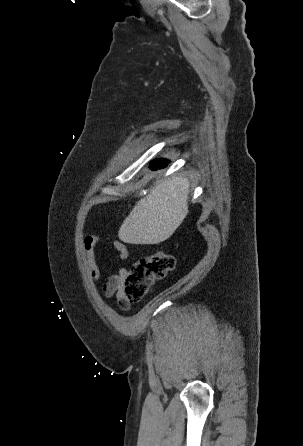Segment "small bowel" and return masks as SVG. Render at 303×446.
Instances as JSON below:
<instances>
[{"mask_svg": "<svg viewBox=\"0 0 303 446\" xmlns=\"http://www.w3.org/2000/svg\"><path fill=\"white\" fill-rule=\"evenodd\" d=\"M99 240L100 236L94 234L87 235L83 240V254L88 267L90 279L93 282L98 281L101 276V272L98 267L94 252ZM112 245L116 250L119 259L125 260L128 258V250L121 241L113 240ZM127 273L128 271L126 268H119L117 271L106 278L102 287L104 296L106 298L116 296L118 304L122 308L128 307V303L124 298L123 292Z\"/></svg>", "mask_w": 303, "mask_h": 446, "instance_id": "c3829d8e", "label": "small bowel"}]
</instances>
